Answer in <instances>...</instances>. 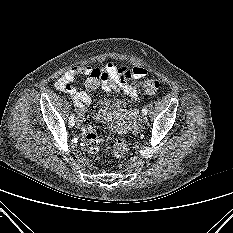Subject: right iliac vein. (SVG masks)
Returning a JSON list of instances; mask_svg holds the SVG:
<instances>
[{
  "mask_svg": "<svg viewBox=\"0 0 233 233\" xmlns=\"http://www.w3.org/2000/svg\"><path fill=\"white\" fill-rule=\"evenodd\" d=\"M79 126H80V120L77 118L75 121V127L79 128Z\"/></svg>",
  "mask_w": 233,
  "mask_h": 233,
  "instance_id": "1",
  "label": "right iliac vein"
}]
</instances>
